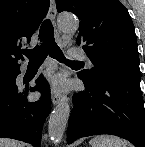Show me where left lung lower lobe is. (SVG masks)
<instances>
[{"instance_id": "0a47b994", "label": "left lung lower lobe", "mask_w": 145, "mask_h": 147, "mask_svg": "<svg viewBox=\"0 0 145 147\" xmlns=\"http://www.w3.org/2000/svg\"><path fill=\"white\" fill-rule=\"evenodd\" d=\"M85 90L73 95L67 142L81 137L112 134L135 147H145V109L136 68H114L94 80L78 74Z\"/></svg>"}]
</instances>
